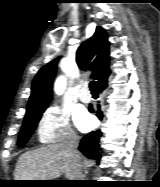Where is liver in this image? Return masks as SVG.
I'll use <instances>...</instances> for the list:
<instances>
[{"label":"liver","instance_id":"obj_1","mask_svg":"<svg viewBox=\"0 0 160 187\" xmlns=\"http://www.w3.org/2000/svg\"><path fill=\"white\" fill-rule=\"evenodd\" d=\"M61 174L68 180H76L78 166L64 144H54L22 154L16 165L15 180H53Z\"/></svg>","mask_w":160,"mask_h":187}]
</instances>
